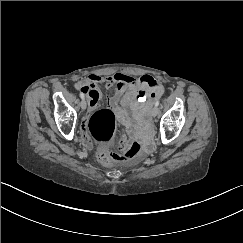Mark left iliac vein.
<instances>
[{"instance_id": "left-iliac-vein-1", "label": "left iliac vein", "mask_w": 243, "mask_h": 243, "mask_svg": "<svg viewBox=\"0 0 243 243\" xmlns=\"http://www.w3.org/2000/svg\"><path fill=\"white\" fill-rule=\"evenodd\" d=\"M158 113H159V109H158V107L155 106V107L152 109V111H151V115H152L153 117H156Z\"/></svg>"}]
</instances>
